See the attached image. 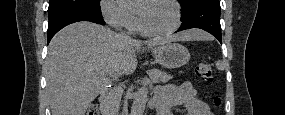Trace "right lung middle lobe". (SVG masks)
I'll return each instance as SVG.
<instances>
[{"label": "right lung middle lobe", "mask_w": 285, "mask_h": 115, "mask_svg": "<svg viewBox=\"0 0 285 115\" xmlns=\"http://www.w3.org/2000/svg\"><path fill=\"white\" fill-rule=\"evenodd\" d=\"M67 10H84L101 13L100 0H50L49 17Z\"/></svg>", "instance_id": "dd1d6c3e"}]
</instances>
